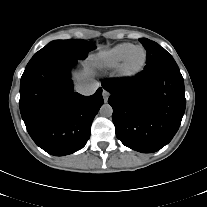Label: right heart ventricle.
<instances>
[{
	"label": "right heart ventricle",
	"instance_id": "e07e8e85",
	"mask_svg": "<svg viewBox=\"0 0 207 207\" xmlns=\"http://www.w3.org/2000/svg\"><path fill=\"white\" fill-rule=\"evenodd\" d=\"M133 46L131 43H121L104 51L97 58L98 65L105 69L116 68Z\"/></svg>",
	"mask_w": 207,
	"mask_h": 207
}]
</instances>
